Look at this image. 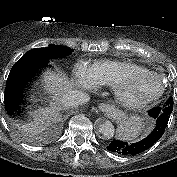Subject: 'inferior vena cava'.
<instances>
[{
    "mask_svg": "<svg viewBox=\"0 0 177 177\" xmlns=\"http://www.w3.org/2000/svg\"><path fill=\"white\" fill-rule=\"evenodd\" d=\"M89 100L90 96L87 93L78 90H71L62 97L61 103L65 107H75L80 104L87 103Z\"/></svg>",
    "mask_w": 177,
    "mask_h": 177,
    "instance_id": "inferior-vena-cava-1",
    "label": "inferior vena cava"
}]
</instances>
